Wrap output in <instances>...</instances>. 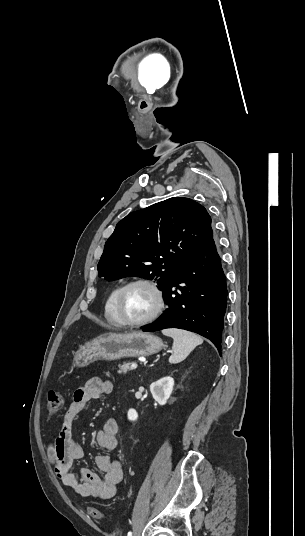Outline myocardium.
Segmentation results:
<instances>
[{
    "instance_id": "f54148a6",
    "label": "myocardium",
    "mask_w": 305,
    "mask_h": 536,
    "mask_svg": "<svg viewBox=\"0 0 305 536\" xmlns=\"http://www.w3.org/2000/svg\"><path fill=\"white\" fill-rule=\"evenodd\" d=\"M145 285L148 288H150L156 297V306L154 310L144 319L139 321H126L123 317V297L128 288H130L133 285ZM165 306V295L161 288V286L150 278L145 277H137L133 278L126 283H124L121 288L119 289L116 299H115V313L117 318L119 319L120 326L127 327V328H139L142 326L147 325L148 323L152 322L154 319H156L163 311Z\"/></svg>"
}]
</instances>
